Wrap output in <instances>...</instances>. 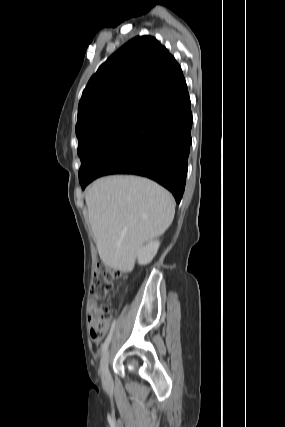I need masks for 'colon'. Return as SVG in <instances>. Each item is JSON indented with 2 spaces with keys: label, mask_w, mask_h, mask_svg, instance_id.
<instances>
[{
  "label": "colon",
  "mask_w": 285,
  "mask_h": 427,
  "mask_svg": "<svg viewBox=\"0 0 285 427\" xmlns=\"http://www.w3.org/2000/svg\"><path fill=\"white\" fill-rule=\"evenodd\" d=\"M122 277L118 270H112L105 265H98L94 271L91 297L95 306L89 316L90 334L93 340L98 341L106 334L111 318V308L106 301L116 289L117 281Z\"/></svg>",
  "instance_id": "obj_1"
}]
</instances>
